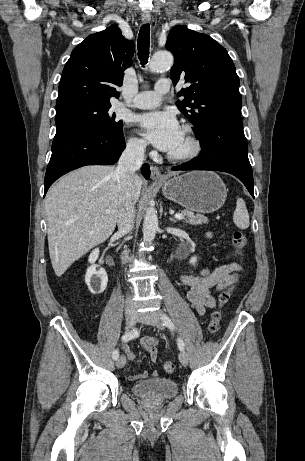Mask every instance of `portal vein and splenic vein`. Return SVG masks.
Instances as JSON below:
<instances>
[{"instance_id":"1","label":"portal vein and splenic vein","mask_w":305,"mask_h":461,"mask_svg":"<svg viewBox=\"0 0 305 461\" xmlns=\"http://www.w3.org/2000/svg\"><path fill=\"white\" fill-rule=\"evenodd\" d=\"M175 218L178 220L184 219V215L182 213L175 214Z\"/></svg>"}]
</instances>
